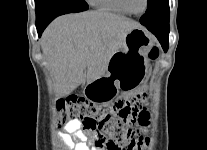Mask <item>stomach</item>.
Returning a JSON list of instances; mask_svg holds the SVG:
<instances>
[{
	"label": "stomach",
	"mask_w": 207,
	"mask_h": 150,
	"mask_svg": "<svg viewBox=\"0 0 207 150\" xmlns=\"http://www.w3.org/2000/svg\"><path fill=\"white\" fill-rule=\"evenodd\" d=\"M153 38L142 28L127 33L121 49L110 59L107 73L87 83L84 95L95 101H109L120 89H132L141 84L147 74V54Z\"/></svg>",
	"instance_id": "0dacf381"
}]
</instances>
